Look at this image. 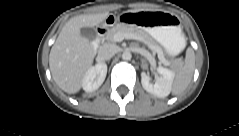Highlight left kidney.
Instances as JSON below:
<instances>
[{"label":"left kidney","mask_w":239,"mask_h":136,"mask_svg":"<svg viewBox=\"0 0 239 136\" xmlns=\"http://www.w3.org/2000/svg\"><path fill=\"white\" fill-rule=\"evenodd\" d=\"M157 72L160 77L155 81V83H152L150 77L145 72H142L141 83L147 92L159 98H164L171 92L175 73L164 67H158Z\"/></svg>","instance_id":"obj_1"}]
</instances>
